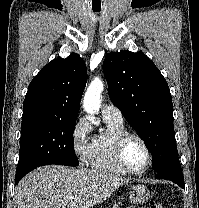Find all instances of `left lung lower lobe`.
<instances>
[{"label": "left lung lower lobe", "mask_w": 199, "mask_h": 208, "mask_svg": "<svg viewBox=\"0 0 199 208\" xmlns=\"http://www.w3.org/2000/svg\"><path fill=\"white\" fill-rule=\"evenodd\" d=\"M156 172V178L170 180L179 185L181 188H184V179L178 157L172 160L167 166L156 170Z\"/></svg>", "instance_id": "obj_1"}]
</instances>
